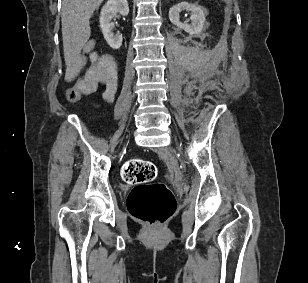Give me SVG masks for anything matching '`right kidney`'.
<instances>
[{"label": "right kidney", "instance_id": "right-kidney-1", "mask_svg": "<svg viewBox=\"0 0 308 283\" xmlns=\"http://www.w3.org/2000/svg\"><path fill=\"white\" fill-rule=\"evenodd\" d=\"M117 13H120L123 16H127L129 14L127 0H108L103 6L99 18L100 28L104 39L113 49H119L123 41L122 35L119 33L114 35L113 33L115 24L111 22V20L117 16Z\"/></svg>", "mask_w": 308, "mask_h": 283}]
</instances>
